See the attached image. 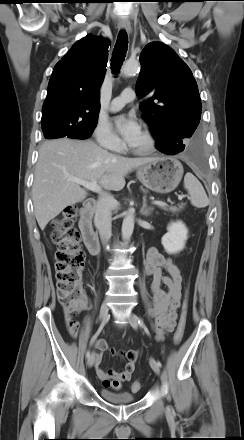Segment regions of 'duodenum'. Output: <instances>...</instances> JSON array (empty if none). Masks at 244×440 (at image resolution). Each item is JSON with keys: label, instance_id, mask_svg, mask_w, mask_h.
Segmentation results:
<instances>
[{"label": "duodenum", "instance_id": "1", "mask_svg": "<svg viewBox=\"0 0 244 440\" xmlns=\"http://www.w3.org/2000/svg\"><path fill=\"white\" fill-rule=\"evenodd\" d=\"M96 207V201L92 198L86 200L80 210L79 229L83 241L92 255H98L100 251L99 238L92 227V218Z\"/></svg>", "mask_w": 244, "mask_h": 440}]
</instances>
